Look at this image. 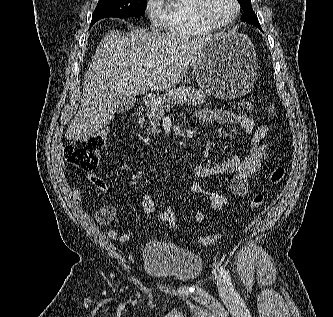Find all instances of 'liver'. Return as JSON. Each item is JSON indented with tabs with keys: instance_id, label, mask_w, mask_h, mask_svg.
Wrapping results in <instances>:
<instances>
[{
	"instance_id": "1",
	"label": "liver",
	"mask_w": 333,
	"mask_h": 317,
	"mask_svg": "<svg viewBox=\"0 0 333 317\" xmlns=\"http://www.w3.org/2000/svg\"><path fill=\"white\" fill-rule=\"evenodd\" d=\"M213 36L145 29L106 34L85 74L81 105L65 132L66 139H88L105 128L115 116L112 101L117 96L135 97L149 89L176 86Z\"/></svg>"
}]
</instances>
